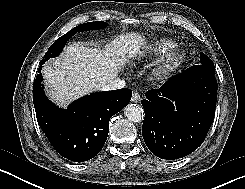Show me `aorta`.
<instances>
[{"label":"aorta","mask_w":245,"mask_h":189,"mask_svg":"<svg viewBox=\"0 0 245 189\" xmlns=\"http://www.w3.org/2000/svg\"><path fill=\"white\" fill-rule=\"evenodd\" d=\"M125 116L132 122H141L144 118V110L141 106L130 104L125 108Z\"/></svg>","instance_id":"obj_1"}]
</instances>
